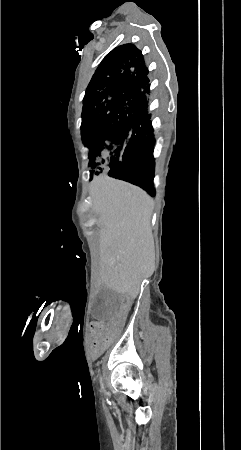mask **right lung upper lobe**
<instances>
[{"instance_id": "obj_1", "label": "right lung upper lobe", "mask_w": 241, "mask_h": 450, "mask_svg": "<svg viewBox=\"0 0 241 450\" xmlns=\"http://www.w3.org/2000/svg\"><path fill=\"white\" fill-rule=\"evenodd\" d=\"M147 74L141 51L132 44H124L103 59L90 83L110 85L122 98L146 101Z\"/></svg>"}]
</instances>
